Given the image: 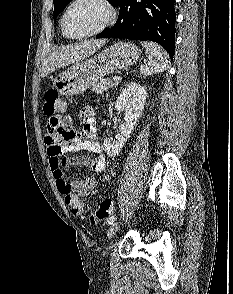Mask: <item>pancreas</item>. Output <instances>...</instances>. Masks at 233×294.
Masks as SVG:
<instances>
[{
  "mask_svg": "<svg viewBox=\"0 0 233 294\" xmlns=\"http://www.w3.org/2000/svg\"><path fill=\"white\" fill-rule=\"evenodd\" d=\"M115 82H112L109 78L100 79L92 88V91L97 94H103L108 88L114 87Z\"/></svg>",
  "mask_w": 233,
  "mask_h": 294,
  "instance_id": "1",
  "label": "pancreas"
}]
</instances>
